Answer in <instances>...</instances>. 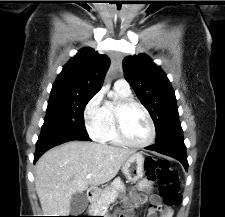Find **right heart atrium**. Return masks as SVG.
Listing matches in <instances>:
<instances>
[{
	"instance_id": "obj_1",
	"label": "right heart atrium",
	"mask_w": 225,
	"mask_h": 217,
	"mask_svg": "<svg viewBox=\"0 0 225 217\" xmlns=\"http://www.w3.org/2000/svg\"><path fill=\"white\" fill-rule=\"evenodd\" d=\"M102 100L103 93L99 91L84 107L85 127L88 134L94 139H100L105 129Z\"/></svg>"
}]
</instances>
